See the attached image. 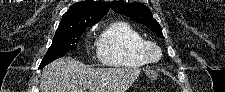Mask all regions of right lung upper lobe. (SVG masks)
<instances>
[{"instance_id":"right-lung-upper-lobe-1","label":"right lung upper lobe","mask_w":225,"mask_h":92,"mask_svg":"<svg viewBox=\"0 0 225 92\" xmlns=\"http://www.w3.org/2000/svg\"><path fill=\"white\" fill-rule=\"evenodd\" d=\"M109 8L106 2H94V0L77 2L62 16L58 28H75L99 22L108 13Z\"/></svg>"}]
</instances>
